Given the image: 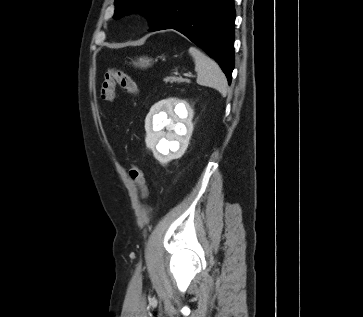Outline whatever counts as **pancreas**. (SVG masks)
<instances>
[{"mask_svg": "<svg viewBox=\"0 0 363 317\" xmlns=\"http://www.w3.org/2000/svg\"><path fill=\"white\" fill-rule=\"evenodd\" d=\"M164 82H165V83H168V82H170V83H173V82L181 83V82H186V80H185V79H182V78H180V77L170 76V77H166V78L164 79Z\"/></svg>", "mask_w": 363, "mask_h": 317, "instance_id": "cf45deb5", "label": "pancreas"}]
</instances>
